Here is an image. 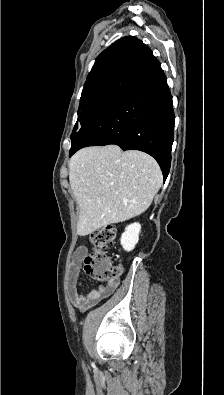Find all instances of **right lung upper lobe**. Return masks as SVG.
<instances>
[{
	"instance_id": "cb5924a9",
	"label": "right lung upper lobe",
	"mask_w": 224,
	"mask_h": 395,
	"mask_svg": "<svg viewBox=\"0 0 224 395\" xmlns=\"http://www.w3.org/2000/svg\"><path fill=\"white\" fill-rule=\"evenodd\" d=\"M133 36L123 37L99 54L87 77L86 83L106 73L121 70L142 45Z\"/></svg>"
}]
</instances>
